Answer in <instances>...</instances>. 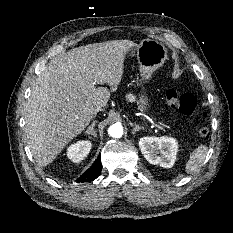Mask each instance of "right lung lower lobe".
Here are the masks:
<instances>
[{
	"label": "right lung lower lobe",
	"mask_w": 233,
	"mask_h": 233,
	"mask_svg": "<svg viewBox=\"0 0 233 233\" xmlns=\"http://www.w3.org/2000/svg\"><path fill=\"white\" fill-rule=\"evenodd\" d=\"M101 172V160L100 156L95 160L93 165L82 175L80 176L77 181L78 182H90L96 179Z\"/></svg>",
	"instance_id": "1"
}]
</instances>
